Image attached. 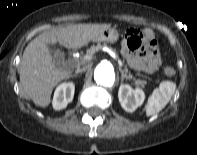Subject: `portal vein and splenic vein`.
Segmentation results:
<instances>
[{"label":"portal vein and splenic vein","instance_id":"1","mask_svg":"<svg viewBox=\"0 0 197 155\" xmlns=\"http://www.w3.org/2000/svg\"><path fill=\"white\" fill-rule=\"evenodd\" d=\"M115 58L117 59V62L119 64V66L122 67L123 66V63H122L121 59L118 58L117 56H115Z\"/></svg>","mask_w":197,"mask_h":155}]
</instances>
